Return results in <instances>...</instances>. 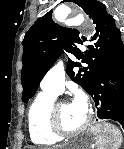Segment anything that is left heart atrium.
<instances>
[{
  "label": "left heart atrium",
  "mask_w": 124,
  "mask_h": 149,
  "mask_svg": "<svg viewBox=\"0 0 124 149\" xmlns=\"http://www.w3.org/2000/svg\"><path fill=\"white\" fill-rule=\"evenodd\" d=\"M71 104L75 108H77L85 113H88V101H87V98L83 92H81V91L76 92L74 94L72 101H71Z\"/></svg>",
  "instance_id": "1"
}]
</instances>
